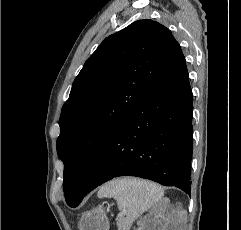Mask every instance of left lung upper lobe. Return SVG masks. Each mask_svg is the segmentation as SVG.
Returning a JSON list of instances; mask_svg holds the SVG:
<instances>
[{
  "mask_svg": "<svg viewBox=\"0 0 241 230\" xmlns=\"http://www.w3.org/2000/svg\"><path fill=\"white\" fill-rule=\"evenodd\" d=\"M183 59L171 31L149 19L110 35L87 59L59 120L57 153L69 206L92 182L110 139Z\"/></svg>",
  "mask_w": 241,
  "mask_h": 230,
  "instance_id": "left-lung-upper-lobe-1",
  "label": "left lung upper lobe"
}]
</instances>
